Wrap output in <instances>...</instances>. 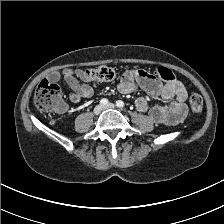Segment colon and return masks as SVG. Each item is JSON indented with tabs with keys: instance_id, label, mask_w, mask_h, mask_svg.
Listing matches in <instances>:
<instances>
[{
	"instance_id": "colon-1",
	"label": "colon",
	"mask_w": 224,
	"mask_h": 224,
	"mask_svg": "<svg viewBox=\"0 0 224 224\" xmlns=\"http://www.w3.org/2000/svg\"><path fill=\"white\" fill-rule=\"evenodd\" d=\"M85 75L91 82H110L116 78L117 72L114 68L101 66L88 69ZM157 75L166 82L175 79L173 72L166 67L158 68ZM34 105L40 112H56L63 110L65 104L60 87L46 80L41 81L35 90ZM189 105L195 114H200L203 108V99L201 95L192 93L189 98Z\"/></svg>"
}]
</instances>
